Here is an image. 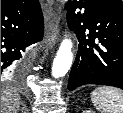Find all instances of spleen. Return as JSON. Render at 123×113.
<instances>
[{
  "label": "spleen",
  "mask_w": 123,
  "mask_h": 113,
  "mask_svg": "<svg viewBox=\"0 0 123 113\" xmlns=\"http://www.w3.org/2000/svg\"><path fill=\"white\" fill-rule=\"evenodd\" d=\"M93 105L101 113H123V91L114 87H98L91 94Z\"/></svg>",
  "instance_id": "spleen-1"
}]
</instances>
